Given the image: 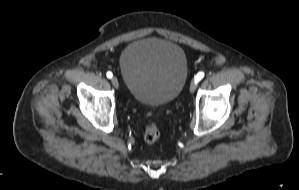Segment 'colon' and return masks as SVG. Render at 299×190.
<instances>
[{
  "instance_id": "colon-1",
  "label": "colon",
  "mask_w": 299,
  "mask_h": 190,
  "mask_svg": "<svg viewBox=\"0 0 299 190\" xmlns=\"http://www.w3.org/2000/svg\"><path fill=\"white\" fill-rule=\"evenodd\" d=\"M160 130L157 124L149 123L146 125L143 133V138L145 142L152 144L159 139Z\"/></svg>"
}]
</instances>
